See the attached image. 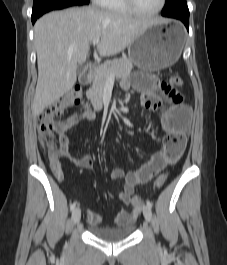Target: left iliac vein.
<instances>
[{"label": "left iliac vein", "instance_id": "1", "mask_svg": "<svg viewBox=\"0 0 227 265\" xmlns=\"http://www.w3.org/2000/svg\"><path fill=\"white\" fill-rule=\"evenodd\" d=\"M142 210H143V215H144L146 221L150 222L152 219L151 209L147 205H144Z\"/></svg>", "mask_w": 227, "mask_h": 265}]
</instances>
